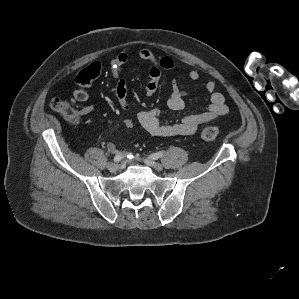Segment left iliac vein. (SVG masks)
I'll return each mask as SVG.
<instances>
[{"instance_id": "4c4485c4", "label": "left iliac vein", "mask_w": 299, "mask_h": 299, "mask_svg": "<svg viewBox=\"0 0 299 299\" xmlns=\"http://www.w3.org/2000/svg\"><path fill=\"white\" fill-rule=\"evenodd\" d=\"M145 163H146L148 166L154 168L155 170L161 171V170L163 169V166H162L161 163H159V162H155V161H153V160L150 159V158L146 159V160H145Z\"/></svg>"}]
</instances>
